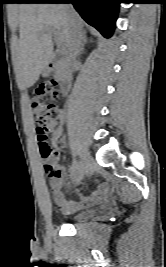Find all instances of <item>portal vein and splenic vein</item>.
Instances as JSON below:
<instances>
[{"mask_svg": "<svg viewBox=\"0 0 166 267\" xmlns=\"http://www.w3.org/2000/svg\"><path fill=\"white\" fill-rule=\"evenodd\" d=\"M45 31L48 32L49 34H53L56 37L59 45L63 44V39L61 38L60 33L56 29L49 27L46 28Z\"/></svg>", "mask_w": 166, "mask_h": 267, "instance_id": "1", "label": "portal vein and splenic vein"}]
</instances>
